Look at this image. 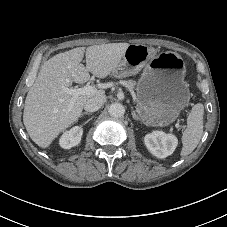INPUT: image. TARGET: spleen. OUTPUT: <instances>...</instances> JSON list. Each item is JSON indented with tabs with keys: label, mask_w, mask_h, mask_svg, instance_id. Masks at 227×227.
Wrapping results in <instances>:
<instances>
[{
	"label": "spleen",
	"mask_w": 227,
	"mask_h": 227,
	"mask_svg": "<svg viewBox=\"0 0 227 227\" xmlns=\"http://www.w3.org/2000/svg\"><path fill=\"white\" fill-rule=\"evenodd\" d=\"M203 114L204 107L198 103L193 106L187 118V128L182 135L181 156L183 157L191 154L200 142L203 134Z\"/></svg>",
	"instance_id": "3e777b00"
}]
</instances>
